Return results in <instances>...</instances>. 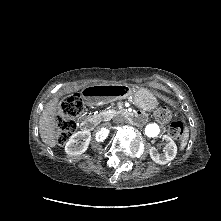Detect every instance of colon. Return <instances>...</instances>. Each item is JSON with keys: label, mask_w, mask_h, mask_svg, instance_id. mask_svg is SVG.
<instances>
[{"label": "colon", "mask_w": 221, "mask_h": 221, "mask_svg": "<svg viewBox=\"0 0 221 221\" xmlns=\"http://www.w3.org/2000/svg\"><path fill=\"white\" fill-rule=\"evenodd\" d=\"M85 105L79 94L65 97L60 103V111L56 118V138L60 144H64L76 129V118L84 111ZM155 116L162 123L169 122L171 111L166 105L159 106ZM185 134L183 122L175 120L169 124V135L180 140Z\"/></svg>", "instance_id": "colon-1"}]
</instances>
